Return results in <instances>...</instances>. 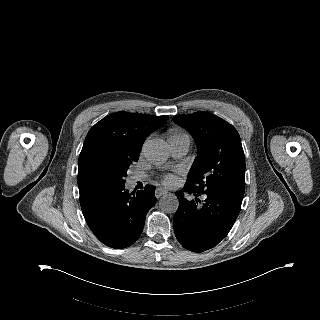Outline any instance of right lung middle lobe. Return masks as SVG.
<instances>
[{
	"mask_svg": "<svg viewBox=\"0 0 320 320\" xmlns=\"http://www.w3.org/2000/svg\"><path fill=\"white\" fill-rule=\"evenodd\" d=\"M139 158L127 157L112 158L99 162L95 168V176L98 181L109 184H125L127 170L131 163Z\"/></svg>",
	"mask_w": 320,
	"mask_h": 320,
	"instance_id": "1",
	"label": "right lung middle lobe"
}]
</instances>
